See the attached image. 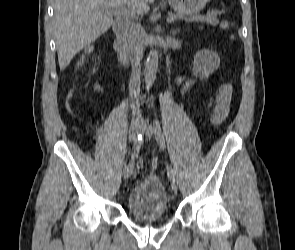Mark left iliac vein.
I'll return each instance as SVG.
<instances>
[{"instance_id": "left-iliac-vein-1", "label": "left iliac vein", "mask_w": 295, "mask_h": 250, "mask_svg": "<svg viewBox=\"0 0 295 250\" xmlns=\"http://www.w3.org/2000/svg\"><path fill=\"white\" fill-rule=\"evenodd\" d=\"M141 129L148 139H151L154 136V127L148 122L143 123ZM170 187L173 193H177L178 188L175 182H171Z\"/></svg>"}]
</instances>
